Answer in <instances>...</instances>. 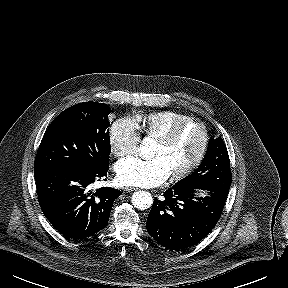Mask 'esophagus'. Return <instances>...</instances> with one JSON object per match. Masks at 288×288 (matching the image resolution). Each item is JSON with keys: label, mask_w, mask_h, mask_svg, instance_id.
<instances>
[{"label": "esophagus", "mask_w": 288, "mask_h": 288, "mask_svg": "<svg viewBox=\"0 0 288 288\" xmlns=\"http://www.w3.org/2000/svg\"><path fill=\"white\" fill-rule=\"evenodd\" d=\"M123 190L126 191V192H133V191H136L137 188H135V187H125V188H123Z\"/></svg>", "instance_id": "obj_1"}]
</instances>
